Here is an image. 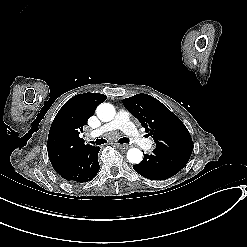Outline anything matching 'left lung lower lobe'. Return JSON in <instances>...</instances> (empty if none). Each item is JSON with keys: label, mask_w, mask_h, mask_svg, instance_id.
<instances>
[{"label": "left lung lower lobe", "mask_w": 247, "mask_h": 247, "mask_svg": "<svg viewBox=\"0 0 247 247\" xmlns=\"http://www.w3.org/2000/svg\"><path fill=\"white\" fill-rule=\"evenodd\" d=\"M186 164L181 158L155 149L153 154H145L142 162L133 165V168L147 179L165 180L177 174Z\"/></svg>", "instance_id": "obj_1"}]
</instances>
